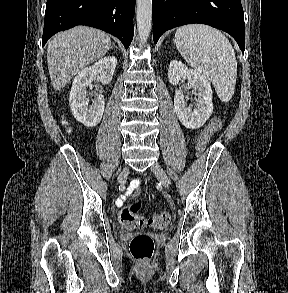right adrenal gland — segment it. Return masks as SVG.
<instances>
[{
	"mask_svg": "<svg viewBox=\"0 0 288 293\" xmlns=\"http://www.w3.org/2000/svg\"><path fill=\"white\" fill-rule=\"evenodd\" d=\"M113 47L117 48V46L115 44L112 45Z\"/></svg>",
	"mask_w": 288,
	"mask_h": 293,
	"instance_id": "obj_1",
	"label": "right adrenal gland"
}]
</instances>
